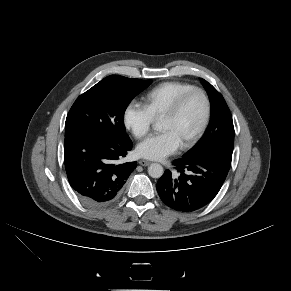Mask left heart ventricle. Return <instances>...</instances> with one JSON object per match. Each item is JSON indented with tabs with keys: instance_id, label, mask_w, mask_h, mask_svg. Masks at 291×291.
<instances>
[{
	"instance_id": "left-heart-ventricle-1",
	"label": "left heart ventricle",
	"mask_w": 291,
	"mask_h": 291,
	"mask_svg": "<svg viewBox=\"0 0 291 291\" xmlns=\"http://www.w3.org/2000/svg\"><path fill=\"white\" fill-rule=\"evenodd\" d=\"M204 114V101L198 94L193 95L173 118H162V131H172L180 144L185 143L199 127Z\"/></svg>"
}]
</instances>
